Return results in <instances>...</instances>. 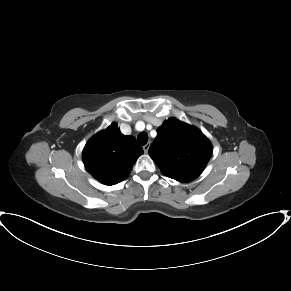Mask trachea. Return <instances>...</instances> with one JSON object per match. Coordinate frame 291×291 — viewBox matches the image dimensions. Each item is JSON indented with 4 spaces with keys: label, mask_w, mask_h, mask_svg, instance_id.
Instances as JSON below:
<instances>
[{
    "label": "trachea",
    "mask_w": 291,
    "mask_h": 291,
    "mask_svg": "<svg viewBox=\"0 0 291 291\" xmlns=\"http://www.w3.org/2000/svg\"><path fill=\"white\" fill-rule=\"evenodd\" d=\"M137 140L141 145H145L148 141V134L146 132H141L137 136Z\"/></svg>",
    "instance_id": "trachea-1"
}]
</instances>
